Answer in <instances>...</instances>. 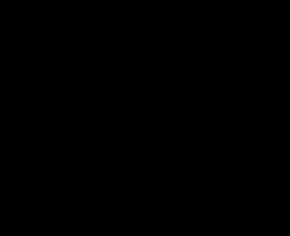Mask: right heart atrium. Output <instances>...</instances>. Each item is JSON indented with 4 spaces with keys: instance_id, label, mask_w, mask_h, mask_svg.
Here are the masks:
<instances>
[{
    "instance_id": "obj_1",
    "label": "right heart atrium",
    "mask_w": 290,
    "mask_h": 236,
    "mask_svg": "<svg viewBox=\"0 0 290 236\" xmlns=\"http://www.w3.org/2000/svg\"><path fill=\"white\" fill-rule=\"evenodd\" d=\"M126 93L131 101L132 109L137 114H141L146 107L145 97L142 96L140 93H138L137 90L134 88V86L130 84L126 86Z\"/></svg>"
}]
</instances>
